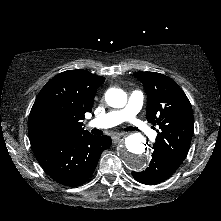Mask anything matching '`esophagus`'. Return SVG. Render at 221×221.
<instances>
[{
  "instance_id": "34e87169",
  "label": "esophagus",
  "mask_w": 221,
  "mask_h": 221,
  "mask_svg": "<svg viewBox=\"0 0 221 221\" xmlns=\"http://www.w3.org/2000/svg\"><path fill=\"white\" fill-rule=\"evenodd\" d=\"M124 137H125L124 133H122V134H114V135H112V140H113L114 143H118Z\"/></svg>"
}]
</instances>
